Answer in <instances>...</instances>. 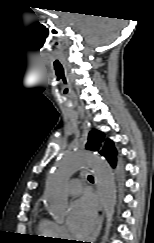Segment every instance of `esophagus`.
<instances>
[{
  "mask_svg": "<svg viewBox=\"0 0 154 243\" xmlns=\"http://www.w3.org/2000/svg\"><path fill=\"white\" fill-rule=\"evenodd\" d=\"M97 196H98V206H97V219H96V225L93 233L88 237L87 243H94L96 238L98 237L102 223H103V206L100 198V194L97 191Z\"/></svg>",
  "mask_w": 154,
  "mask_h": 243,
  "instance_id": "1",
  "label": "esophagus"
}]
</instances>
